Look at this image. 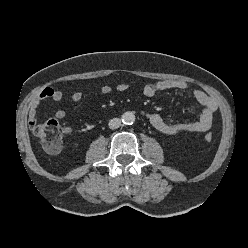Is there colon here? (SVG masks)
<instances>
[{
  "label": "colon",
  "instance_id": "1",
  "mask_svg": "<svg viewBox=\"0 0 248 248\" xmlns=\"http://www.w3.org/2000/svg\"><path fill=\"white\" fill-rule=\"evenodd\" d=\"M34 133L40 140L43 148L50 154H57L63 147V130L56 120H49L34 128ZM206 142H211L213 136L207 133L204 137Z\"/></svg>",
  "mask_w": 248,
  "mask_h": 248
}]
</instances>
